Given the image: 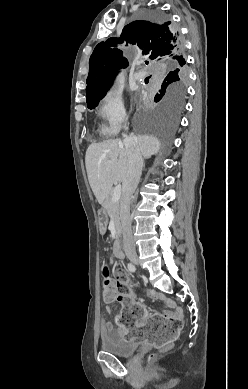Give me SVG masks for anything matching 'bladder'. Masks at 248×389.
Wrapping results in <instances>:
<instances>
[{"label":"bladder","instance_id":"31cf9c89","mask_svg":"<svg viewBox=\"0 0 248 389\" xmlns=\"http://www.w3.org/2000/svg\"><path fill=\"white\" fill-rule=\"evenodd\" d=\"M100 347L105 353L118 357H129L138 350L139 344L126 340L115 330L111 334L100 336Z\"/></svg>","mask_w":248,"mask_h":389}]
</instances>
